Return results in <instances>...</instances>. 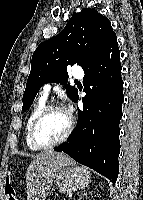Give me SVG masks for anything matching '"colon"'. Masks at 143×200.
<instances>
[{
    "mask_svg": "<svg viewBox=\"0 0 143 200\" xmlns=\"http://www.w3.org/2000/svg\"><path fill=\"white\" fill-rule=\"evenodd\" d=\"M5 200H17L14 183L8 179L5 185Z\"/></svg>",
    "mask_w": 143,
    "mask_h": 200,
    "instance_id": "5ec220e1",
    "label": "colon"
}]
</instances>
